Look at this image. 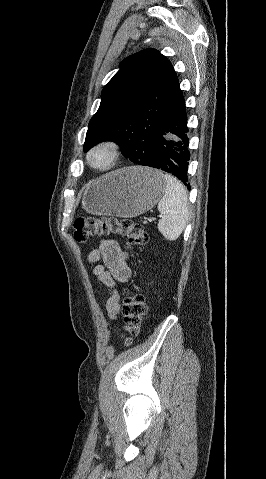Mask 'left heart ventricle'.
Returning a JSON list of instances; mask_svg holds the SVG:
<instances>
[{
  "instance_id": "left-heart-ventricle-1",
  "label": "left heart ventricle",
  "mask_w": 266,
  "mask_h": 479,
  "mask_svg": "<svg viewBox=\"0 0 266 479\" xmlns=\"http://www.w3.org/2000/svg\"><path fill=\"white\" fill-rule=\"evenodd\" d=\"M98 164H104L106 162V157L104 155H98L95 159Z\"/></svg>"
}]
</instances>
